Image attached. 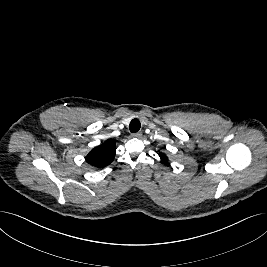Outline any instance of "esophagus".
<instances>
[{
  "instance_id": "34e87169",
  "label": "esophagus",
  "mask_w": 267,
  "mask_h": 267,
  "mask_svg": "<svg viewBox=\"0 0 267 267\" xmlns=\"http://www.w3.org/2000/svg\"><path fill=\"white\" fill-rule=\"evenodd\" d=\"M141 136H142L141 132H136V133L132 134V137H134V138H140Z\"/></svg>"
}]
</instances>
